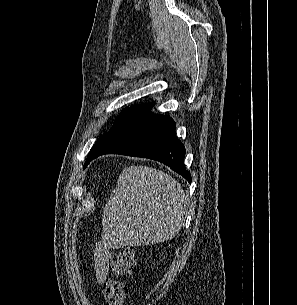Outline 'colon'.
Returning a JSON list of instances; mask_svg holds the SVG:
<instances>
[{"label":"colon","instance_id":"colon-1","mask_svg":"<svg viewBox=\"0 0 297 305\" xmlns=\"http://www.w3.org/2000/svg\"><path fill=\"white\" fill-rule=\"evenodd\" d=\"M138 261L133 248L121 249L114 258L111 277L103 285L104 305H123L127 296L125 279L129 277Z\"/></svg>","mask_w":297,"mask_h":305}]
</instances>
